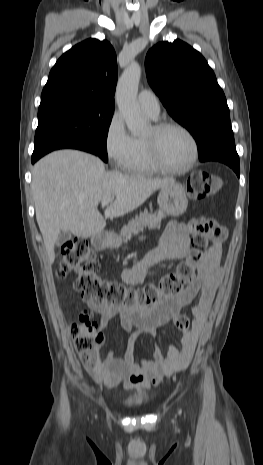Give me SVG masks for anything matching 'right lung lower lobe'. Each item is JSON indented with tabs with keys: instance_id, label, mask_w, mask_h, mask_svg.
I'll return each mask as SVG.
<instances>
[{
	"instance_id": "1",
	"label": "right lung lower lobe",
	"mask_w": 263,
	"mask_h": 465,
	"mask_svg": "<svg viewBox=\"0 0 263 465\" xmlns=\"http://www.w3.org/2000/svg\"><path fill=\"white\" fill-rule=\"evenodd\" d=\"M64 148L78 149V150H82V151H86V152L95 154L94 150L91 147H89L88 145H86V144H84L82 142H79V141H76V140H62V141H59L57 143H54V144L46 147L39 154H34L33 153L32 158H31V162H32V164H34L38 159H40L45 154H47V153H49V152H51L53 150L64 149Z\"/></svg>"
}]
</instances>
